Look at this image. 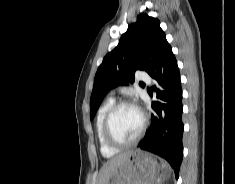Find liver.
<instances>
[{"instance_id":"1","label":"liver","mask_w":235,"mask_h":184,"mask_svg":"<svg viewBox=\"0 0 235 184\" xmlns=\"http://www.w3.org/2000/svg\"><path fill=\"white\" fill-rule=\"evenodd\" d=\"M129 154H132V152H124V154H119V156H115V158H111L106 164H103L98 174L97 184H107L115 168H118V166H122L124 162H127Z\"/></svg>"}]
</instances>
